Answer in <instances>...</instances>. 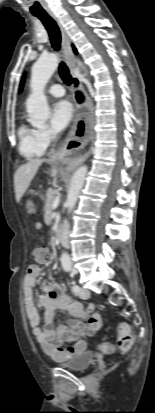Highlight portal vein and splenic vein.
<instances>
[{"label": "portal vein and splenic vein", "mask_w": 155, "mask_h": 413, "mask_svg": "<svg viewBox=\"0 0 155 413\" xmlns=\"http://www.w3.org/2000/svg\"><path fill=\"white\" fill-rule=\"evenodd\" d=\"M60 202V197L56 196L54 199V205H57Z\"/></svg>", "instance_id": "portal-vein-and-splenic-vein-1"}]
</instances>
